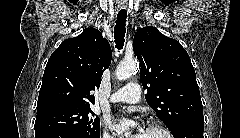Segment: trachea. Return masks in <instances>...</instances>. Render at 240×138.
Segmentation results:
<instances>
[{"mask_svg": "<svg viewBox=\"0 0 240 138\" xmlns=\"http://www.w3.org/2000/svg\"><path fill=\"white\" fill-rule=\"evenodd\" d=\"M126 21H127V11L121 9L117 15L116 25L114 27V38L116 43V48L118 50L123 48L124 37L126 33Z\"/></svg>", "mask_w": 240, "mask_h": 138, "instance_id": "3493384b", "label": "trachea"}]
</instances>
